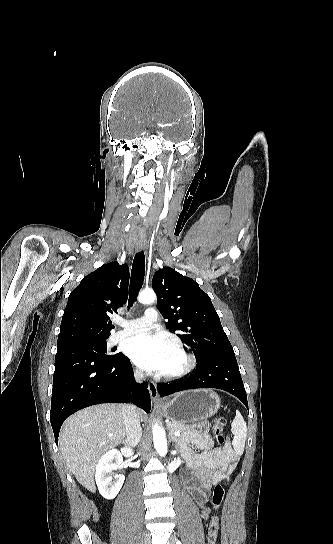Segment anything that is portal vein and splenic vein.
I'll use <instances>...</instances> for the list:
<instances>
[{"label": "portal vein and splenic vein", "mask_w": 333, "mask_h": 544, "mask_svg": "<svg viewBox=\"0 0 333 544\" xmlns=\"http://www.w3.org/2000/svg\"><path fill=\"white\" fill-rule=\"evenodd\" d=\"M174 435H175V436H179V435H180V432L177 431V432L174 433Z\"/></svg>", "instance_id": "portal-vein-and-splenic-vein-1"}]
</instances>
